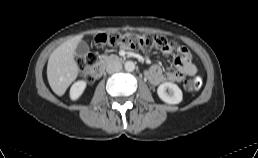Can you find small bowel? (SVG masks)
<instances>
[{"mask_svg":"<svg viewBox=\"0 0 258 158\" xmlns=\"http://www.w3.org/2000/svg\"><path fill=\"white\" fill-rule=\"evenodd\" d=\"M168 54L169 52H165ZM175 70L164 71L159 65H152L147 71L149 81L158 85L163 82H181L185 76H193L197 68L192 62L190 51L181 46L178 49V56L174 58Z\"/></svg>","mask_w":258,"mask_h":158,"instance_id":"1","label":"small bowel"}]
</instances>
